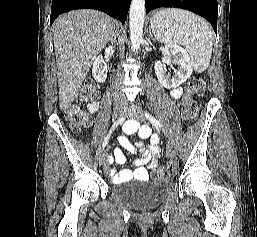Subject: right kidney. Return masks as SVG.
Returning a JSON list of instances; mask_svg holds the SVG:
<instances>
[{
  "instance_id": "obj_1",
  "label": "right kidney",
  "mask_w": 257,
  "mask_h": 237,
  "mask_svg": "<svg viewBox=\"0 0 257 237\" xmlns=\"http://www.w3.org/2000/svg\"><path fill=\"white\" fill-rule=\"evenodd\" d=\"M107 72V65L104 62L103 57L99 55L93 63L92 75L97 82L102 83L106 80Z\"/></svg>"
}]
</instances>
